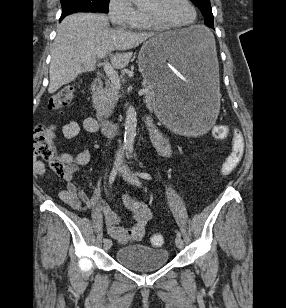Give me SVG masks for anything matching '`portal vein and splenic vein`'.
Wrapping results in <instances>:
<instances>
[{"label": "portal vein and splenic vein", "instance_id": "portal-vein-and-splenic-vein-1", "mask_svg": "<svg viewBox=\"0 0 286 308\" xmlns=\"http://www.w3.org/2000/svg\"><path fill=\"white\" fill-rule=\"evenodd\" d=\"M106 54H107L106 52H99L97 56H98L99 59H104ZM103 67H104L105 73L107 74V76L109 77L111 82L114 85H116L117 87L120 88V86H121L120 78H119L117 72L112 67V65L108 61H104ZM138 93H139V95H143L145 93V90L141 89V90H139Z\"/></svg>", "mask_w": 286, "mask_h": 308}]
</instances>
